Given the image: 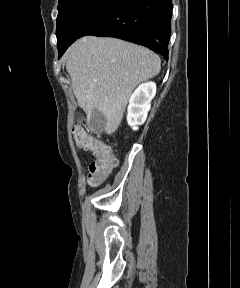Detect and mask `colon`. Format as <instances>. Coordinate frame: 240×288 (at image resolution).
<instances>
[{"mask_svg":"<svg viewBox=\"0 0 240 288\" xmlns=\"http://www.w3.org/2000/svg\"><path fill=\"white\" fill-rule=\"evenodd\" d=\"M73 137L78 147L91 151L94 155L87 181L91 186H98L109 176L117 163L110 146L91 137L79 126L73 128Z\"/></svg>","mask_w":240,"mask_h":288,"instance_id":"1","label":"colon"}]
</instances>
